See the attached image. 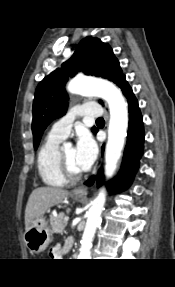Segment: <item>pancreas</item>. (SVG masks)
Instances as JSON below:
<instances>
[{
  "mask_svg": "<svg viewBox=\"0 0 175 287\" xmlns=\"http://www.w3.org/2000/svg\"><path fill=\"white\" fill-rule=\"evenodd\" d=\"M65 213L60 212L57 216L50 217L51 231L54 233H62L66 226L64 222Z\"/></svg>",
  "mask_w": 175,
  "mask_h": 287,
  "instance_id": "obj_1",
  "label": "pancreas"
}]
</instances>
